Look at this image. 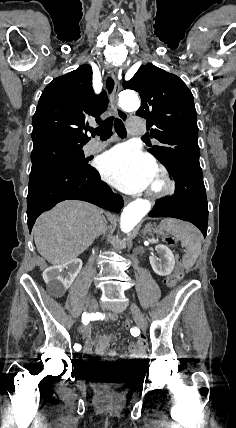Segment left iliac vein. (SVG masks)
I'll return each mask as SVG.
<instances>
[{
  "label": "left iliac vein",
  "instance_id": "obj_1",
  "mask_svg": "<svg viewBox=\"0 0 236 428\" xmlns=\"http://www.w3.org/2000/svg\"><path fill=\"white\" fill-rule=\"evenodd\" d=\"M129 310L133 314L134 322L137 328H145L146 322L142 314L140 313L139 307L136 305V303H131L129 305Z\"/></svg>",
  "mask_w": 236,
  "mask_h": 428
}]
</instances>
